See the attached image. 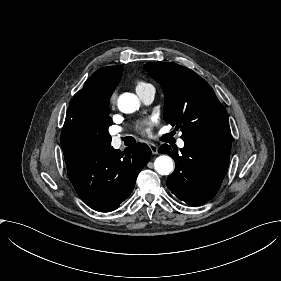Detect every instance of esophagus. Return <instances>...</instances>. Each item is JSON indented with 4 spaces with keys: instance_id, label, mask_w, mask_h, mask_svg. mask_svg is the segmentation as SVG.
<instances>
[{
    "instance_id": "obj_1",
    "label": "esophagus",
    "mask_w": 281,
    "mask_h": 281,
    "mask_svg": "<svg viewBox=\"0 0 281 281\" xmlns=\"http://www.w3.org/2000/svg\"><path fill=\"white\" fill-rule=\"evenodd\" d=\"M148 145H149V147H150V149H151L153 154H157L158 153V147L155 144L148 143Z\"/></svg>"
}]
</instances>
